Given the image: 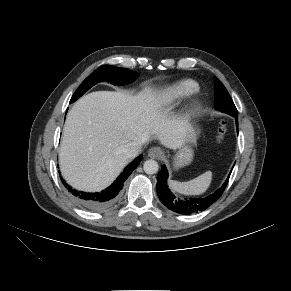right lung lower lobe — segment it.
<instances>
[{
    "mask_svg": "<svg viewBox=\"0 0 291 291\" xmlns=\"http://www.w3.org/2000/svg\"><path fill=\"white\" fill-rule=\"evenodd\" d=\"M142 155L137 157L132 163H130L121 175L115 180V182L109 186L107 189L101 192L88 193L83 191H78L71 186H69L64 179L62 183L73 196V198L84 208L92 211H99L111 206L118 198L124 181L129 177L132 171L139 165L142 160Z\"/></svg>",
    "mask_w": 291,
    "mask_h": 291,
    "instance_id": "98d812e1",
    "label": "right lung lower lobe"
}]
</instances>
